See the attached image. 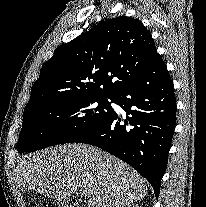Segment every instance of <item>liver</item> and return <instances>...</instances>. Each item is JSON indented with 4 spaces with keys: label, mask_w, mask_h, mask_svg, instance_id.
I'll use <instances>...</instances> for the list:
<instances>
[{
    "label": "liver",
    "mask_w": 206,
    "mask_h": 207,
    "mask_svg": "<svg viewBox=\"0 0 206 207\" xmlns=\"http://www.w3.org/2000/svg\"><path fill=\"white\" fill-rule=\"evenodd\" d=\"M21 190L60 202L84 191L87 207H124L143 199L146 181L131 166L86 144L55 146L24 156L16 167Z\"/></svg>",
    "instance_id": "1"
}]
</instances>
